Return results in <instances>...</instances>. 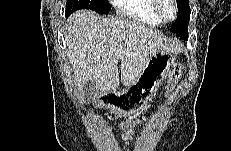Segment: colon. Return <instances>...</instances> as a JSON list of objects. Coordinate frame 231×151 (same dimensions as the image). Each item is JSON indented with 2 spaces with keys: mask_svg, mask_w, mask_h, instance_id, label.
<instances>
[{
  "mask_svg": "<svg viewBox=\"0 0 231 151\" xmlns=\"http://www.w3.org/2000/svg\"><path fill=\"white\" fill-rule=\"evenodd\" d=\"M182 74V66L181 64H177L174 68L170 71L168 76V84L167 90L170 91L174 88V86L178 83Z\"/></svg>",
  "mask_w": 231,
  "mask_h": 151,
  "instance_id": "colon-1",
  "label": "colon"
}]
</instances>
